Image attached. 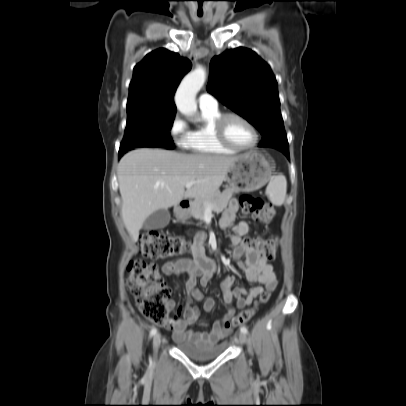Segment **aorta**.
<instances>
[{"label": "aorta", "mask_w": 406, "mask_h": 406, "mask_svg": "<svg viewBox=\"0 0 406 406\" xmlns=\"http://www.w3.org/2000/svg\"><path fill=\"white\" fill-rule=\"evenodd\" d=\"M205 80V68L197 67L181 81L175 94V103L183 115L193 116L197 112L196 94L204 85Z\"/></svg>", "instance_id": "obj_1"}]
</instances>
